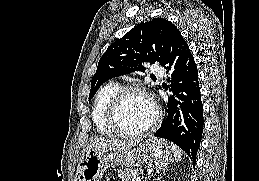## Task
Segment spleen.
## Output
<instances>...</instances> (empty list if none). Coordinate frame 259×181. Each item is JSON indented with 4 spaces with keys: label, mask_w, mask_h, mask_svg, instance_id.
<instances>
[{
    "label": "spleen",
    "mask_w": 259,
    "mask_h": 181,
    "mask_svg": "<svg viewBox=\"0 0 259 181\" xmlns=\"http://www.w3.org/2000/svg\"><path fill=\"white\" fill-rule=\"evenodd\" d=\"M170 147L173 151L174 158H175L176 162L180 161L181 157H182V150L177 145H175L174 143H171Z\"/></svg>",
    "instance_id": "spleen-1"
}]
</instances>
